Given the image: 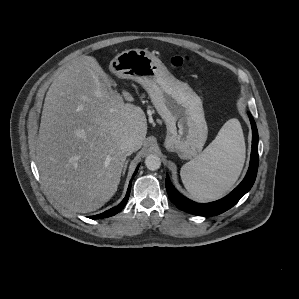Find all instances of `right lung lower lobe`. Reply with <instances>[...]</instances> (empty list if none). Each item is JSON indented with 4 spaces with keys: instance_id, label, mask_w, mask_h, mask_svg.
I'll list each match as a JSON object with an SVG mask.
<instances>
[{
    "instance_id": "obj_1",
    "label": "right lung lower lobe",
    "mask_w": 299,
    "mask_h": 299,
    "mask_svg": "<svg viewBox=\"0 0 299 299\" xmlns=\"http://www.w3.org/2000/svg\"><path fill=\"white\" fill-rule=\"evenodd\" d=\"M137 171H138V167H137V169H136V171H135V173H134L133 176H135V174L137 173ZM130 189H131V182L129 184V187H128V190H127L125 198L123 199V201L118 206L113 207V208L105 211L104 213H101V214H98V215H95V216H90L89 218H91V219H100V218L110 217V216H113L116 213H118L126 205L127 200L129 198V195H130Z\"/></svg>"
}]
</instances>
